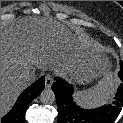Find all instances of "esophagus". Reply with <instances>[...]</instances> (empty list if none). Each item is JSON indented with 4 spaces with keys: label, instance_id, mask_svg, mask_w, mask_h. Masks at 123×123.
<instances>
[{
    "label": "esophagus",
    "instance_id": "34e87169",
    "mask_svg": "<svg viewBox=\"0 0 123 123\" xmlns=\"http://www.w3.org/2000/svg\"><path fill=\"white\" fill-rule=\"evenodd\" d=\"M53 77L50 74H46L45 76V87L50 88L53 84Z\"/></svg>",
    "mask_w": 123,
    "mask_h": 123
}]
</instances>
